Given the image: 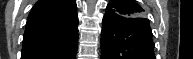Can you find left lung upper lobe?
Segmentation results:
<instances>
[{
    "instance_id": "obj_1",
    "label": "left lung upper lobe",
    "mask_w": 193,
    "mask_h": 59,
    "mask_svg": "<svg viewBox=\"0 0 193 59\" xmlns=\"http://www.w3.org/2000/svg\"><path fill=\"white\" fill-rule=\"evenodd\" d=\"M106 12H114L119 16L140 21L144 18V9L133 0H111Z\"/></svg>"
}]
</instances>
